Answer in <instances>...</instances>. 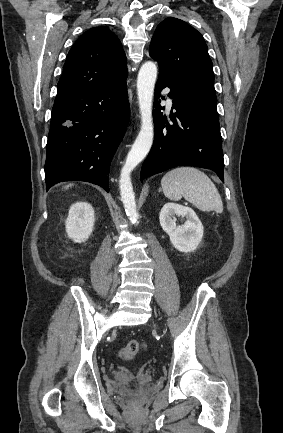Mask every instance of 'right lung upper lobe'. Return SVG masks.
<instances>
[{"label": "right lung upper lobe", "instance_id": "1", "mask_svg": "<svg viewBox=\"0 0 283 433\" xmlns=\"http://www.w3.org/2000/svg\"><path fill=\"white\" fill-rule=\"evenodd\" d=\"M126 76V56L118 37L107 27L91 28L69 51L56 98L112 86Z\"/></svg>", "mask_w": 283, "mask_h": 433}]
</instances>
